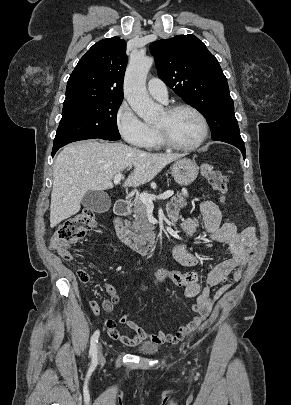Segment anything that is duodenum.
I'll use <instances>...</instances> for the list:
<instances>
[{"instance_id":"duodenum-1","label":"duodenum","mask_w":291,"mask_h":405,"mask_svg":"<svg viewBox=\"0 0 291 405\" xmlns=\"http://www.w3.org/2000/svg\"><path fill=\"white\" fill-rule=\"evenodd\" d=\"M131 211V204L126 200L117 201L114 209V225L120 240L139 253H147L156 243L154 232L147 234H136L130 230L126 219Z\"/></svg>"}]
</instances>
